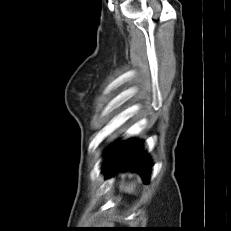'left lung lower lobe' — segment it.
Listing matches in <instances>:
<instances>
[{"label":"left lung lower lobe","instance_id":"0a47b994","mask_svg":"<svg viewBox=\"0 0 231 231\" xmlns=\"http://www.w3.org/2000/svg\"><path fill=\"white\" fill-rule=\"evenodd\" d=\"M152 164L142 142H131L126 140L110 149L104 170L107 175H113L118 170H131L139 173L145 182L149 181Z\"/></svg>","mask_w":231,"mask_h":231}]
</instances>
